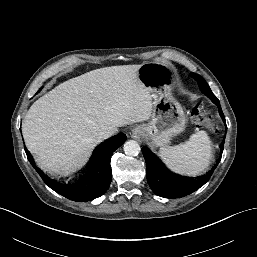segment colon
Instances as JSON below:
<instances>
[{
  "instance_id": "1",
  "label": "colon",
  "mask_w": 257,
  "mask_h": 257,
  "mask_svg": "<svg viewBox=\"0 0 257 257\" xmlns=\"http://www.w3.org/2000/svg\"><path fill=\"white\" fill-rule=\"evenodd\" d=\"M192 120L199 126L215 129V124L211 115L200 107H195L191 112Z\"/></svg>"
}]
</instances>
